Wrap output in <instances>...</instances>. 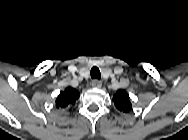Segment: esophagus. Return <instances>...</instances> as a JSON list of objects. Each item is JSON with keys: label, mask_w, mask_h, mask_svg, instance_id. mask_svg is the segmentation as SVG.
I'll return each instance as SVG.
<instances>
[{"label": "esophagus", "mask_w": 188, "mask_h": 140, "mask_svg": "<svg viewBox=\"0 0 188 140\" xmlns=\"http://www.w3.org/2000/svg\"><path fill=\"white\" fill-rule=\"evenodd\" d=\"M92 86L94 87V88H101L102 87V82L101 81H99V80H93L92 81Z\"/></svg>", "instance_id": "esophagus-1"}]
</instances>
